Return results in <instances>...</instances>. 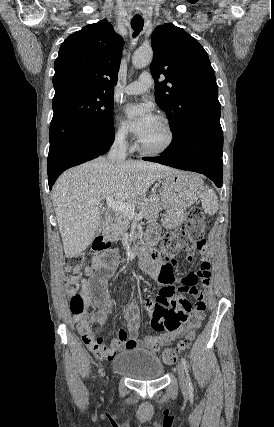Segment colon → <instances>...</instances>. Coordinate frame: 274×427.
I'll use <instances>...</instances> for the list:
<instances>
[{"mask_svg":"<svg viewBox=\"0 0 274 427\" xmlns=\"http://www.w3.org/2000/svg\"><path fill=\"white\" fill-rule=\"evenodd\" d=\"M205 214L199 207H192L187 212L186 223L166 234L163 237L161 246L158 249V256L162 261L169 259L172 254L184 251L190 246H194L196 236L205 235ZM83 261V257L80 255H73L68 257L65 262L66 277L68 290L70 292L69 307L73 315H81L85 313L87 319L86 333L83 338L92 332H99L101 329V323L96 317H90L91 310L85 307L84 301L78 291H76L78 284V270ZM160 292V291H159ZM206 317V311H195L193 317H189V322L193 323L194 329L200 328L201 318ZM82 338V339H83ZM196 339L194 330H188L185 337H181L179 340V350H189L190 346L193 345ZM157 355L164 356L165 364H177L178 363V351L174 350L173 347H158Z\"/></svg>","mask_w":274,"mask_h":427,"instance_id":"1","label":"colon"}]
</instances>
